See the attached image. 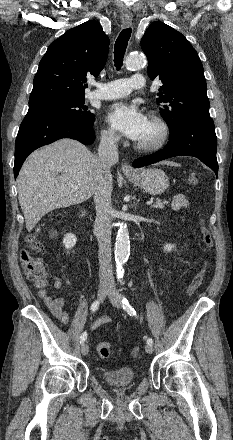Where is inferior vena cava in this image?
<instances>
[{
  "label": "inferior vena cava",
  "instance_id": "1",
  "mask_svg": "<svg viewBox=\"0 0 233 440\" xmlns=\"http://www.w3.org/2000/svg\"><path fill=\"white\" fill-rule=\"evenodd\" d=\"M119 137L114 133H106L101 136L98 148V159L103 178L94 194L96 207V219L94 233L99 245V278L100 284L114 285L111 263V223L113 209L111 204L112 183L107 179L110 168L118 162Z\"/></svg>",
  "mask_w": 233,
  "mask_h": 440
}]
</instances>
